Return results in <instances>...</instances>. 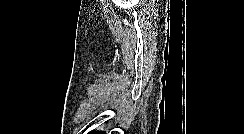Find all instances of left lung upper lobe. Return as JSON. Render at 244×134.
<instances>
[{
    "label": "left lung upper lobe",
    "mask_w": 244,
    "mask_h": 134,
    "mask_svg": "<svg viewBox=\"0 0 244 134\" xmlns=\"http://www.w3.org/2000/svg\"><path fill=\"white\" fill-rule=\"evenodd\" d=\"M95 131H92V132H89L88 134H92V133H94Z\"/></svg>",
    "instance_id": "5c2ea615"
}]
</instances>
